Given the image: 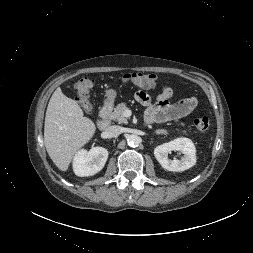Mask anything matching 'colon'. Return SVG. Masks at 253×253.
<instances>
[{
    "label": "colon",
    "instance_id": "1",
    "mask_svg": "<svg viewBox=\"0 0 253 253\" xmlns=\"http://www.w3.org/2000/svg\"><path fill=\"white\" fill-rule=\"evenodd\" d=\"M123 81L139 87H150L156 84L158 77L153 73L131 72L123 76ZM93 86L94 80L89 77L81 78L75 85L77 101L85 112H89L92 108L89 96ZM194 125L198 130L205 131L209 127V118L197 115L194 118Z\"/></svg>",
    "mask_w": 253,
    "mask_h": 253
}]
</instances>
